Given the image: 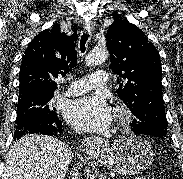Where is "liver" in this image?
Wrapping results in <instances>:
<instances>
[{
  "label": "liver",
  "instance_id": "6515ba94",
  "mask_svg": "<svg viewBox=\"0 0 183 179\" xmlns=\"http://www.w3.org/2000/svg\"><path fill=\"white\" fill-rule=\"evenodd\" d=\"M72 150L56 138L28 134L10 148L1 179H64Z\"/></svg>",
  "mask_w": 183,
  "mask_h": 179
}]
</instances>
